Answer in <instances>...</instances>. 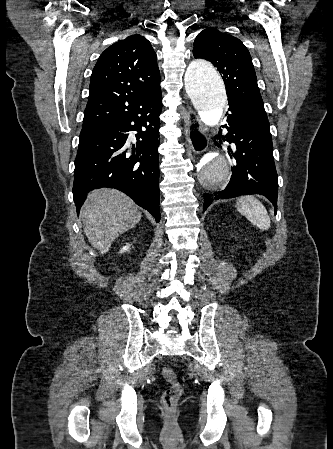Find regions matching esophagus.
<instances>
[{"label": "esophagus", "mask_w": 333, "mask_h": 449, "mask_svg": "<svg viewBox=\"0 0 333 449\" xmlns=\"http://www.w3.org/2000/svg\"><path fill=\"white\" fill-rule=\"evenodd\" d=\"M185 136L188 145L195 153H202L207 147V138L202 133V123L199 116L189 110L185 118Z\"/></svg>", "instance_id": "1"}]
</instances>
